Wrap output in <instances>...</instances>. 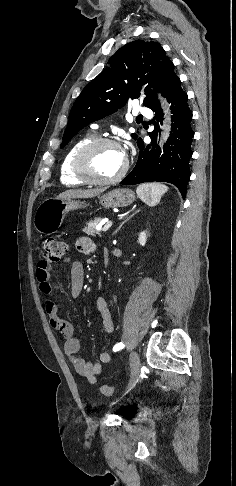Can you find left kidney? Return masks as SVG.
<instances>
[{"label": "left kidney", "mask_w": 236, "mask_h": 486, "mask_svg": "<svg viewBox=\"0 0 236 486\" xmlns=\"http://www.w3.org/2000/svg\"><path fill=\"white\" fill-rule=\"evenodd\" d=\"M146 241H147V235L146 233L143 231L139 234V238H138V242L141 246H145L146 244Z\"/></svg>", "instance_id": "1"}]
</instances>
